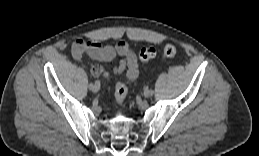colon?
I'll return each mask as SVG.
<instances>
[{
	"mask_svg": "<svg viewBox=\"0 0 259 156\" xmlns=\"http://www.w3.org/2000/svg\"><path fill=\"white\" fill-rule=\"evenodd\" d=\"M177 49L173 44H167L163 47L161 55L163 58H172L176 55ZM156 55V51L152 47H145L141 49L139 53V58L142 62H149ZM127 85L126 83L119 81L115 87V97L119 104H122L127 97Z\"/></svg>",
	"mask_w": 259,
	"mask_h": 156,
	"instance_id": "obj_1",
	"label": "colon"
}]
</instances>
